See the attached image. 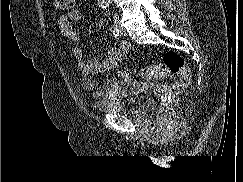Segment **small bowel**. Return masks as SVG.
<instances>
[{
  "label": "small bowel",
  "instance_id": "1",
  "mask_svg": "<svg viewBox=\"0 0 243 182\" xmlns=\"http://www.w3.org/2000/svg\"><path fill=\"white\" fill-rule=\"evenodd\" d=\"M80 18L81 13L77 10L61 14L58 18V26L61 35L73 44L72 55L77 60L78 68L83 76L82 87L85 90H93L95 88V81L90 77L91 75L115 73V76H109L107 79V87L104 92H93L94 98L98 99L104 96L107 99H116L121 93L125 94L139 89L140 85L133 80L129 70H117L130 48L126 42H120L112 47L108 52V56L103 60L84 58L83 50L79 45L82 38L74 28L75 22ZM95 25L97 28H104L106 23L104 20H98Z\"/></svg>",
  "mask_w": 243,
  "mask_h": 182
}]
</instances>
